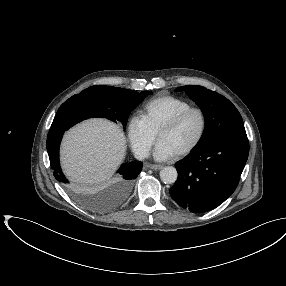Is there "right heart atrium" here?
Returning a JSON list of instances; mask_svg holds the SVG:
<instances>
[{"label": "right heart atrium", "instance_id": "d8ad5b80", "mask_svg": "<svg viewBox=\"0 0 286 286\" xmlns=\"http://www.w3.org/2000/svg\"><path fill=\"white\" fill-rule=\"evenodd\" d=\"M127 136L133 151L140 158L149 155L155 142L156 133L147 125L142 116L134 115L127 124Z\"/></svg>", "mask_w": 286, "mask_h": 286}]
</instances>
